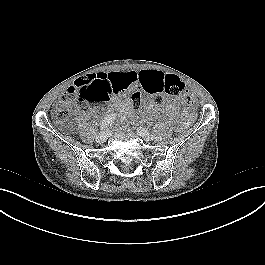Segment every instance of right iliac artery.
Returning a JSON list of instances; mask_svg holds the SVG:
<instances>
[{"label":"right iliac artery","instance_id":"1","mask_svg":"<svg viewBox=\"0 0 265 265\" xmlns=\"http://www.w3.org/2000/svg\"><path fill=\"white\" fill-rule=\"evenodd\" d=\"M115 118H116L115 114H111L105 117L100 125V130H105L106 128H108L113 123Z\"/></svg>","mask_w":265,"mask_h":265}]
</instances>
